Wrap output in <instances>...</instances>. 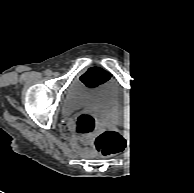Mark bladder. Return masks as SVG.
<instances>
[{"label":"bladder","mask_w":194,"mask_h":193,"mask_svg":"<svg viewBox=\"0 0 194 193\" xmlns=\"http://www.w3.org/2000/svg\"><path fill=\"white\" fill-rule=\"evenodd\" d=\"M86 87L83 84H76L67 90V97L73 104H81L86 102Z\"/></svg>","instance_id":"1"}]
</instances>
